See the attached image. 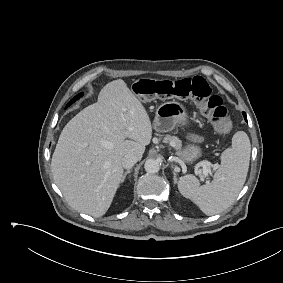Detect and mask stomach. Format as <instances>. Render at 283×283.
Segmentation results:
<instances>
[{
    "mask_svg": "<svg viewBox=\"0 0 283 283\" xmlns=\"http://www.w3.org/2000/svg\"><path fill=\"white\" fill-rule=\"evenodd\" d=\"M188 125V115L185 107L177 101H169L161 104L153 121L156 131L165 133L173 130L176 125ZM178 156L186 163H193L202 155V149L195 144H188L180 150Z\"/></svg>",
    "mask_w": 283,
    "mask_h": 283,
    "instance_id": "1",
    "label": "stomach"
}]
</instances>
